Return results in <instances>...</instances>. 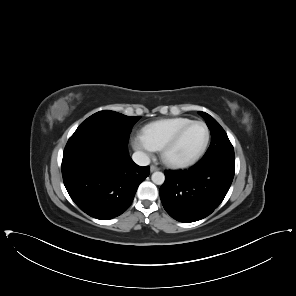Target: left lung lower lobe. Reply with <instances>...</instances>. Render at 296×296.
<instances>
[{"mask_svg": "<svg viewBox=\"0 0 296 296\" xmlns=\"http://www.w3.org/2000/svg\"><path fill=\"white\" fill-rule=\"evenodd\" d=\"M235 157L198 162L188 170L165 171L159 190L163 207L180 222H194L210 215L223 201L234 177Z\"/></svg>", "mask_w": 296, "mask_h": 296, "instance_id": "left-lung-lower-lobe-1", "label": "left lung lower lobe"}]
</instances>
